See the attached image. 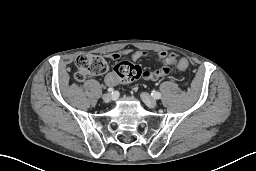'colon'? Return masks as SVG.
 Instances as JSON below:
<instances>
[{
    "instance_id": "colon-1",
    "label": "colon",
    "mask_w": 256,
    "mask_h": 171,
    "mask_svg": "<svg viewBox=\"0 0 256 171\" xmlns=\"http://www.w3.org/2000/svg\"><path fill=\"white\" fill-rule=\"evenodd\" d=\"M165 63L169 66L183 67L185 62L174 56H168ZM75 64L77 67L76 79L82 81L87 75H100L108 70L106 59L100 55L81 54L76 57ZM117 77L125 82H131L143 76V70L131 62H121L115 67Z\"/></svg>"
}]
</instances>
